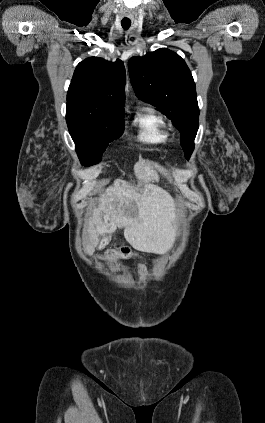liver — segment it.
<instances>
[{
  "label": "liver",
  "instance_id": "obj_1",
  "mask_svg": "<svg viewBox=\"0 0 265 423\" xmlns=\"http://www.w3.org/2000/svg\"><path fill=\"white\" fill-rule=\"evenodd\" d=\"M156 164L140 160L134 167L139 182L145 187L143 194L136 193L123 180H116L100 196L87 225L83 246L92 255L100 242V236L124 228V237L136 250L165 254L175 242L177 229L174 225L176 208L171 196L152 184L159 176ZM137 208L135 216H129L132 205Z\"/></svg>",
  "mask_w": 265,
  "mask_h": 423
}]
</instances>
